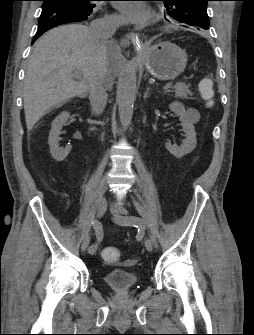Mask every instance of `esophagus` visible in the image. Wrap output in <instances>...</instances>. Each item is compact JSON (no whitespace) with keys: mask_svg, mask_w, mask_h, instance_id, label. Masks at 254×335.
Masks as SVG:
<instances>
[{"mask_svg":"<svg viewBox=\"0 0 254 335\" xmlns=\"http://www.w3.org/2000/svg\"><path fill=\"white\" fill-rule=\"evenodd\" d=\"M131 43L140 50H144L146 48L139 35L134 32L126 34V36L120 42L123 48L128 47Z\"/></svg>","mask_w":254,"mask_h":335,"instance_id":"34e87169","label":"esophagus"}]
</instances>
